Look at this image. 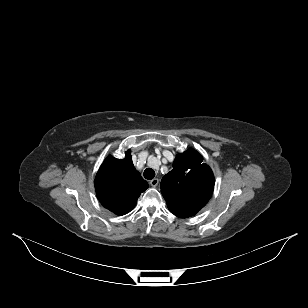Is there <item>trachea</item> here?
Segmentation results:
<instances>
[{
  "label": "trachea",
  "mask_w": 308,
  "mask_h": 308,
  "mask_svg": "<svg viewBox=\"0 0 308 308\" xmlns=\"http://www.w3.org/2000/svg\"><path fill=\"white\" fill-rule=\"evenodd\" d=\"M155 177V171L151 168H147L144 171V178L148 180H152Z\"/></svg>",
  "instance_id": "obj_1"
}]
</instances>
